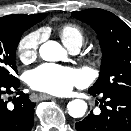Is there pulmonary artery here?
<instances>
[{
  "label": "pulmonary artery",
  "instance_id": "e3ab8cb5",
  "mask_svg": "<svg viewBox=\"0 0 131 131\" xmlns=\"http://www.w3.org/2000/svg\"><path fill=\"white\" fill-rule=\"evenodd\" d=\"M70 49V51L72 52V53H77L78 51H79V49H80V46H74V47H71V48H69Z\"/></svg>",
  "mask_w": 131,
  "mask_h": 131
}]
</instances>
